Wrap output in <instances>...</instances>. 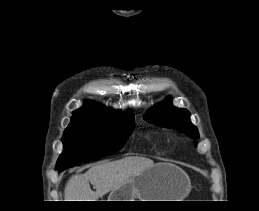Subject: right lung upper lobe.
Here are the masks:
<instances>
[{"label": "right lung upper lobe", "instance_id": "1", "mask_svg": "<svg viewBox=\"0 0 259 211\" xmlns=\"http://www.w3.org/2000/svg\"><path fill=\"white\" fill-rule=\"evenodd\" d=\"M134 115L132 110L119 113L111 108H106L96 102L86 101L85 106L75 110L73 116H91V117H116Z\"/></svg>", "mask_w": 259, "mask_h": 211}]
</instances>
